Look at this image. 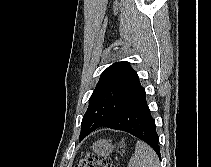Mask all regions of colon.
I'll return each mask as SVG.
<instances>
[{"label":"colon","mask_w":211,"mask_h":167,"mask_svg":"<svg viewBox=\"0 0 211 167\" xmlns=\"http://www.w3.org/2000/svg\"><path fill=\"white\" fill-rule=\"evenodd\" d=\"M75 167H115L108 159L89 154L83 158Z\"/></svg>","instance_id":"5ec220e1"}]
</instances>
